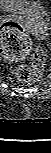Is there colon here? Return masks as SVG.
I'll return each instance as SVG.
<instances>
[{
    "mask_svg": "<svg viewBox=\"0 0 51 153\" xmlns=\"http://www.w3.org/2000/svg\"><path fill=\"white\" fill-rule=\"evenodd\" d=\"M32 41L21 25L14 21L4 22L1 26V53L13 62L23 61L30 53ZM46 53L37 46L31 53V66L19 65L14 75L21 82L37 80L45 66Z\"/></svg>",
    "mask_w": 51,
    "mask_h": 153,
    "instance_id": "5ec220e1",
    "label": "colon"
}]
</instances>
